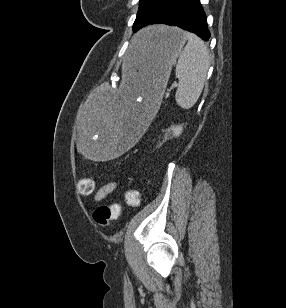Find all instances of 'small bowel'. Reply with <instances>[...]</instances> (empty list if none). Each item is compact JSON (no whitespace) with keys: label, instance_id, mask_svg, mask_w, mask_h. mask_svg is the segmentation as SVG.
I'll list each match as a JSON object with an SVG mask.
<instances>
[{"label":"small bowel","instance_id":"obj_1","mask_svg":"<svg viewBox=\"0 0 286 308\" xmlns=\"http://www.w3.org/2000/svg\"><path fill=\"white\" fill-rule=\"evenodd\" d=\"M116 188V184L115 183H108L106 185H104L103 187H101L96 196L95 199L97 201H100L102 199H104L109 193H111L114 189Z\"/></svg>","mask_w":286,"mask_h":308}]
</instances>
